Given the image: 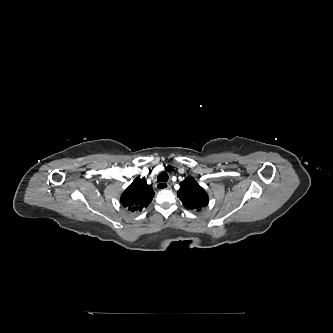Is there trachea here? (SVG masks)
<instances>
[{
  "label": "trachea",
  "mask_w": 333,
  "mask_h": 333,
  "mask_svg": "<svg viewBox=\"0 0 333 333\" xmlns=\"http://www.w3.org/2000/svg\"><path fill=\"white\" fill-rule=\"evenodd\" d=\"M157 180L159 182H167L168 181V174L166 172H161L158 177Z\"/></svg>",
  "instance_id": "3493384b"
}]
</instances>
